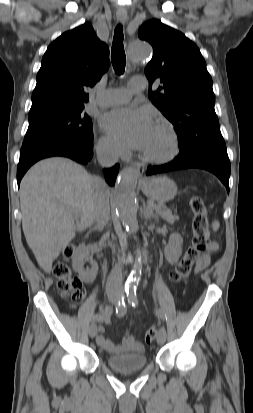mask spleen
Returning a JSON list of instances; mask_svg holds the SVG:
<instances>
[{"instance_id":"spleen-1","label":"spleen","mask_w":253,"mask_h":413,"mask_svg":"<svg viewBox=\"0 0 253 413\" xmlns=\"http://www.w3.org/2000/svg\"><path fill=\"white\" fill-rule=\"evenodd\" d=\"M219 226H220V224H219L218 221H214V222L212 223V229H213L214 231H217V230L219 229Z\"/></svg>"}]
</instances>
